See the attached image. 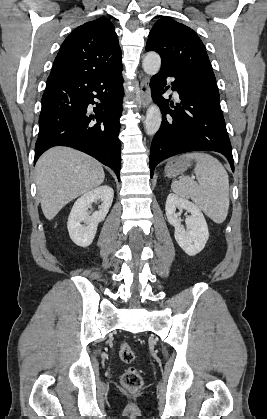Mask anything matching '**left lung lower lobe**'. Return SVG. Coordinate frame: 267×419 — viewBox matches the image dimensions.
<instances>
[{"instance_id": "0a47b994", "label": "left lung lower lobe", "mask_w": 267, "mask_h": 419, "mask_svg": "<svg viewBox=\"0 0 267 419\" xmlns=\"http://www.w3.org/2000/svg\"><path fill=\"white\" fill-rule=\"evenodd\" d=\"M169 76L175 78L172 89L178 92L181 99L177 106L161 96L167 89L164 87ZM150 87L153 100L160 106L163 117L161 127L151 144V178L154 168L162 160L198 150L223 154L234 171L232 147L220 108L216 81L161 67L152 77Z\"/></svg>"}]
</instances>
